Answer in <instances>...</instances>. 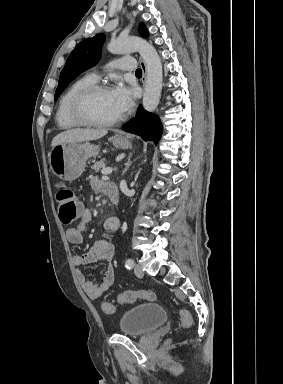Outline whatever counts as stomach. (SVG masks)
<instances>
[{
    "label": "stomach",
    "mask_w": 283,
    "mask_h": 384,
    "mask_svg": "<svg viewBox=\"0 0 283 384\" xmlns=\"http://www.w3.org/2000/svg\"><path fill=\"white\" fill-rule=\"evenodd\" d=\"M115 148H132L128 138L123 134H117L112 138ZM99 154V146H92L89 142H65L54 146L49 154L51 170L55 176L67 182H73L81 176L85 170L88 158H96Z\"/></svg>",
    "instance_id": "0dacf381"
}]
</instances>
